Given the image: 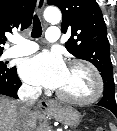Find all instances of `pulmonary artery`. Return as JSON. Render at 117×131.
<instances>
[{"mask_svg":"<svg viewBox=\"0 0 117 131\" xmlns=\"http://www.w3.org/2000/svg\"><path fill=\"white\" fill-rule=\"evenodd\" d=\"M60 31L57 27H50L46 32V39L49 42H56L59 39ZM15 45L8 50L10 57L24 56L34 53L38 50V45L22 37L13 39Z\"/></svg>","mask_w":117,"mask_h":131,"instance_id":"pulmonary-artery-1","label":"pulmonary artery"}]
</instances>
